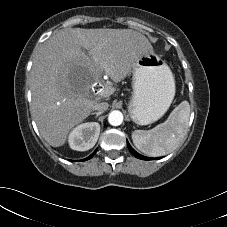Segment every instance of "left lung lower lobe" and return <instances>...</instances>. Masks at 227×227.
Instances as JSON below:
<instances>
[{
    "label": "left lung lower lobe",
    "mask_w": 227,
    "mask_h": 227,
    "mask_svg": "<svg viewBox=\"0 0 227 227\" xmlns=\"http://www.w3.org/2000/svg\"><path fill=\"white\" fill-rule=\"evenodd\" d=\"M127 146L129 148V151L132 153V155H134L136 158L138 159H142V160H154V158H149V157H145L143 155H140L139 153H137L128 143L127 141Z\"/></svg>",
    "instance_id": "0a47b994"
}]
</instances>
